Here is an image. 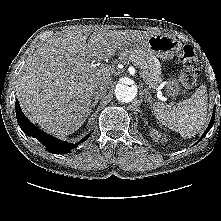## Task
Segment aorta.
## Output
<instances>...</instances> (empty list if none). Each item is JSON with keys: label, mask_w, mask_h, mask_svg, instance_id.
<instances>
[{"label": "aorta", "mask_w": 221, "mask_h": 221, "mask_svg": "<svg viewBox=\"0 0 221 221\" xmlns=\"http://www.w3.org/2000/svg\"><path fill=\"white\" fill-rule=\"evenodd\" d=\"M137 88L134 85L118 83L115 87V96L118 101L123 103L131 102L137 95Z\"/></svg>", "instance_id": "762f6f07"}]
</instances>
